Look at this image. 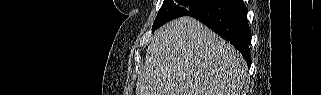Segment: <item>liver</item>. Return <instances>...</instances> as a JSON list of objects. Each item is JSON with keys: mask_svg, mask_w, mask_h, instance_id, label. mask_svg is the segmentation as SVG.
Returning <instances> with one entry per match:
<instances>
[{"mask_svg": "<svg viewBox=\"0 0 321 95\" xmlns=\"http://www.w3.org/2000/svg\"><path fill=\"white\" fill-rule=\"evenodd\" d=\"M246 75V62L231 44L184 16L154 33L136 95H240Z\"/></svg>", "mask_w": 321, "mask_h": 95, "instance_id": "1", "label": "liver"}]
</instances>
